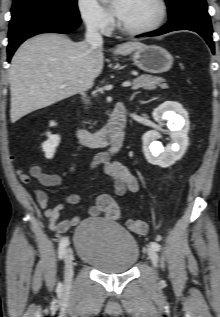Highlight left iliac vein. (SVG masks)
<instances>
[{
  "label": "left iliac vein",
  "mask_w": 220,
  "mask_h": 317,
  "mask_svg": "<svg viewBox=\"0 0 220 317\" xmlns=\"http://www.w3.org/2000/svg\"><path fill=\"white\" fill-rule=\"evenodd\" d=\"M147 254L152 262V264L156 267L158 264V254L152 247H147Z\"/></svg>",
  "instance_id": "1"
}]
</instances>
